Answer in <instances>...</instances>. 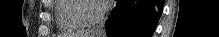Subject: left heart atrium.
<instances>
[{
  "label": "left heart atrium",
  "mask_w": 219,
  "mask_h": 37,
  "mask_svg": "<svg viewBox=\"0 0 219 37\" xmlns=\"http://www.w3.org/2000/svg\"><path fill=\"white\" fill-rule=\"evenodd\" d=\"M108 2H109V1H107V0H99V1H98L99 5L102 6V7L105 6V5H107Z\"/></svg>",
  "instance_id": "left-heart-atrium-1"
}]
</instances>
